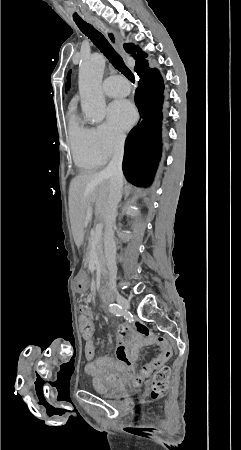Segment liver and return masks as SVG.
<instances>
[{"label": "liver", "mask_w": 241, "mask_h": 450, "mask_svg": "<svg viewBox=\"0 0 241 450\" xmlns=\"http://www.w3.org/2000/svg\"><path fill=\"white\" fill-rule=\"evenodd\" d=\"M110 176L102 172H80L73 178L69 192L70 222L74 242L80 248L92 212L106 224L109 222L108 200Z\"/></svg>", "instance_id": "liver-1"}]
</instances>
